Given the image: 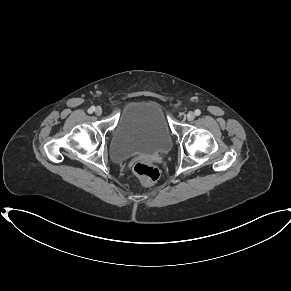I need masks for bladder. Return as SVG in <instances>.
<instances>
[{"label":"bladder","instance_id":"obj_1","mask_svg":"<svg viewBox=\"0 0 291 291\" xmlns=\"http://www.w3.org/2000/svg\"><path fill=\"white\" fill-rule=\"evenodd\" d=\"M172 132L163 105L156 99H133L123 110L109 143L115 161L142 154L167 152Z\"/></svg>","mask_w":291,"mask_h":291}]
</instances>
